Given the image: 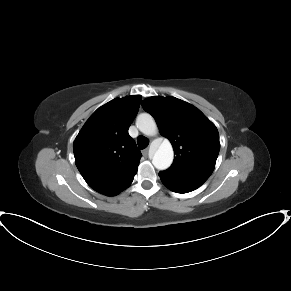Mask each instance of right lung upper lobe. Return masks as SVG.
<instances>
[{
  "label": "right lung upper lobe",
  "mask_w": 291,
  "mask_h": 291,
  "mask_svg": "<svg viewBox=\"0 0 291 291\" xmlns=\"http://www.w3.org/2000/svg\"><path fill=\"white\" fill-rule=\"evenodd\" d=\"M140 95L116 98L98 108L77 135L75 163L95 191L114 196L130 186L141 152L128 134L138 113Z\"/></svg>",
  "instance_id": "cb5924a9"
}]
</instances>
